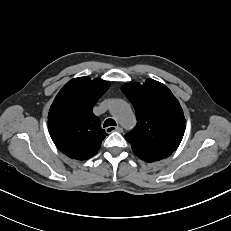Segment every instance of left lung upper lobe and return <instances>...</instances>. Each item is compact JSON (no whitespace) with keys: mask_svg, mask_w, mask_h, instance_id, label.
<instances>
[{"mask_svg":"<svg viewBox=\"0 0 231 231\" xmlns=\"http://www.w3.org/2000/svg\"><path fill=\"white\" fill-rule=\"evenodd\" d=\"M122 91L136 111V127L125 135L135 155L146 162L164 159L179 146L185 131L183 110L162 83H127Z\"/></svg>","mask_w":231,"mask_h":231,"instance_id":"1","label":"left lung upper lobe"}]
</instances>
